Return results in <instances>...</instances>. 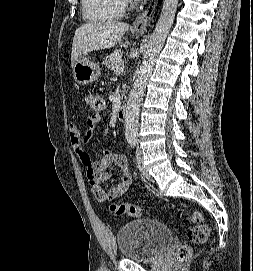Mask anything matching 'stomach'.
Masks as SVG:
<instances>
[{"mask_svg":"<svg viewBox=\"0 0 253 271\" xmlns=\"http://www.w3.org/2000/svg\"><path fill=\"white\" fill-rule=\"evenodd\" d=\"M72 73L75 81L79 84H88L96 81L100 75V66L90 61V59L83 55L72 66Z\"/></svg>","mask_w":253,"mask_h":271,"instance_id":"1","label":"stomach"}]
</instances>
